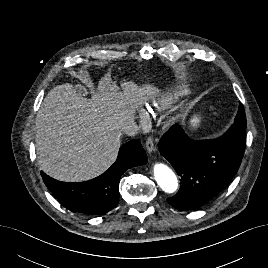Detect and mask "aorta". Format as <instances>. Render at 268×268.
Here are the masks:
<instances>
[{
	"mask_svg": "<svg viewBox=\"0 0 268 268\" xmlns=\"http://www.w3.org/2000/svg\"><path fill=\"white\" fill-rule=\"evenodd\" d=\"M154 178L159 187L166 193H174L178 188V179L167 165L156 163L153 167Z\"/></svg>",
	"mask_w": 268,
	"mask_h": 268,
	"instance_id": "762f6f07",
	"label": "aorta"
}]
</instances>
